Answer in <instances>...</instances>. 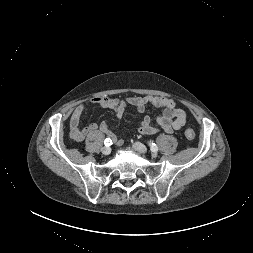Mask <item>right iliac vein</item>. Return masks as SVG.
Wrapping results in <instances>:
<instances>
[{"mask_svg":"<svg viewBox=\"0 0 253 253\" xmlns=\"http://www.w3.org/2000/svg\"><path fill=\"white\" fill-rule=\"evenodd\" d=\"M101 152H102V154H104V155H109V154L111 153V148L105 146V147H103V148L101 149Z\"/></svg>","mask_w":253,"mask_h":253,"instance_id":"63e3f726","label":"right iliac vein"}]
</instances>
